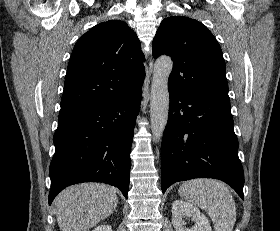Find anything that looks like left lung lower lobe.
Wrapping results in <instances>:
<instances>
[{
	"label": "left lung lower lobe",
	"mask_w": 280,
	"mask_h": 231,
	"mask_svg": "<svg viewBox=\"0 0 280 231\" xmlns=\"http://www.w3.org/2000/svg\"><path fill=\"white\" fill-rule=\"evenodd\" d=\"M169 96L161 148L162 192L178 181L215 178L244 199V172L230 102L172 88Z\"/></svg>",
	"instance_id": "1"
}]
</instances>
